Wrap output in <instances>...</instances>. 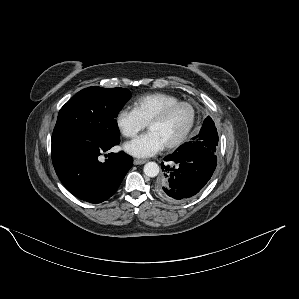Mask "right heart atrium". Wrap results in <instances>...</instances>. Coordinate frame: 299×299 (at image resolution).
Listing matches in <instances>:
<instances>
[{
	"label": "right heart atrium",
	"mask_w": 299,
	"mask_h": 299,
	"mask_svg": "<svg viewBox=\"0 0 299 299\" xmlns=\"http://www.w3.org/2000/svg\"><path fill=\"white\" fill-rule=\"evenodd\" d=\"M114 122L118 132L126 138L135 137L146 127L135 111L127 107L121 108L116 113Z\"/></svg>",
	"instance_id": "1"
}]
</instances>
